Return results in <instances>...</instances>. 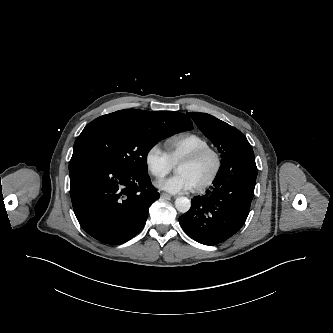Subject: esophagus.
Returning <instances> with one entry per match:
<instances>
[{"label": "esophagus", "instance_id": "obj_1", "mask_svg": "<svg viewBox=\"0 0 333 333\" xmlns=\"http://www.w3.org/2000/svg\"><path fill=\"white\" fill-rule=\"evenodd\" d=\"M161 198H163V199H170L171 195H169L167 193H161Z\"/></svg>", "mask_w": 333, "mask_h": 333}]
</instances>
